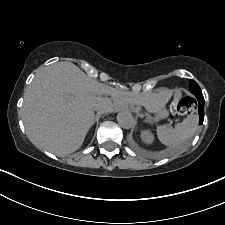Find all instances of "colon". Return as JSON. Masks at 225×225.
<instances>
[{"label":"colon","mask_w":225,"mask_h":225,"mask_svg":"<svg viewBox=\"0 0 225 225\" xmlns=\"http://www.w3.org/2000/svg\"><path fill=\"white\" fill-rule=\"evenodd\" d=\"M197 109V102L194 97L183 96L180 90L174 93V100L171 105V110L175 114L190 115Z\"/></svg>","instance_id":"obj_1"}]
</instances>
